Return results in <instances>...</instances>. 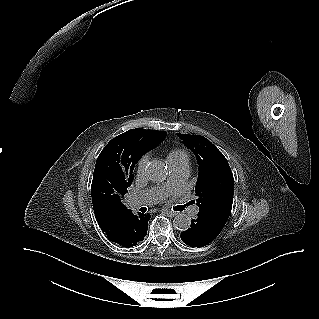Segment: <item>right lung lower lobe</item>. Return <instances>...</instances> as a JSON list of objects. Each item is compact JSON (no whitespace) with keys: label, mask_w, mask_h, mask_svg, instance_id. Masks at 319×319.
<instances>
[{"label":"right lung lower lobe","mask_w":319,"mask_h":319,"mask_svg":"<svg viewBox=\"0 0 319 319\" xmlns=\"http://www.w3.org/2000/svg\"><path fill=\"white\" fill-rule=\"evenodd\" d=\"M150 214H133L130 209L112 220L107 230V237L123 247H133L147 234Z\"/></svg>","instance_id":"98d812e1"}]
</instances>
